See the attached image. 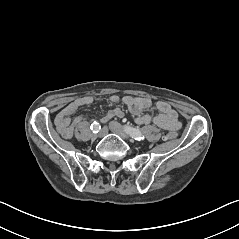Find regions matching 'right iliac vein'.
Instances as JSON below:
<instances>
[{
    "label": "right iliac vein",
    "mask_w": 239,
    "mask_h": 239,
    "mask_svg": "<svg viewBox=\"0 0 239 239\" xmlns=\"http://www.w3.org/2000/svg\"><path fill=\"white\" fill-rule=\"evenodd\" d=\"M107 128L106 127H103L102 129H101V131L99 132V134H98V137H100V138H102V137H104L106 134H107Z\"/></svg>",
    "instance_id": "right-iliac-vein-1"
}]
</instances>
